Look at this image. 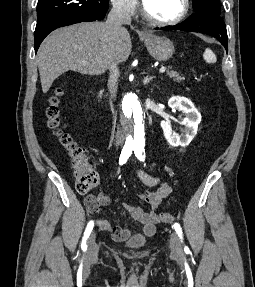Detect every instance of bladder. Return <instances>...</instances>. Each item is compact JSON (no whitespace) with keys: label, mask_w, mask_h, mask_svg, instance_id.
Returning a JSON list of instances; mask_svg holds the SVG:
<instances>
[{"label":"bladder","mask_w":255,"mask_h":287,"mask_svg":"<svg viewBox=\"0 0 255 287\" xmlns=\"http://www.w3.org/2000/svg\"><path fill=\"white\" fill-rule=\"evenodd\" d=\"M146 237L143 234L136 233L125 240V243L132 248L143 247L146 244Z\"/></svg>","instance_id":"31cf9c89"}]
</instances>
